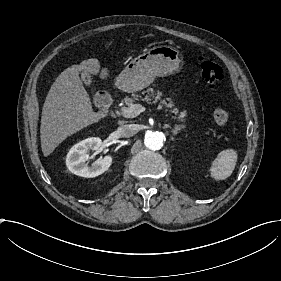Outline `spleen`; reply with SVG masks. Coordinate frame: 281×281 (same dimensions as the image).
<instances>
[{
    "instance_id": "spleen-1",
    "label": "spleen",
    "mask_w": 281,
    "mask_h": 281,
    "mask_svg": "<svg viewBox=\"0 0 281 281\" xmlns=\"http://www.w3.org/2000/svg\"><path fill=\"white\" fill-rule=\"evenodd\" d=\"M236 154L227 150L219 154L214 162L213 176L217 179H225L231 175L235 166Z\"/></svg>"
}]
</instances>
